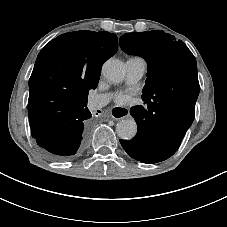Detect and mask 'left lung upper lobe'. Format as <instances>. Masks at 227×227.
Segmentation results:
<instances>
[{
    "instance_id": "5c2ea615",
    "label": "left lung upper lobe",
    "mask_w": 227,
    "mask_h": 227,
    "mask_svg": "<svg viewBox=\"0 0 227 227\" xmlns=\"http://www.w3.org/2000/svg\"><path fill=\"white\" fill-rule=\"evenodd\" d=\"M120 47L148 63L143 101L168 99L185 87H199L196 59L188 47L164 31L128 33L120 37Z\"/></svg>"
}]
</instances>
